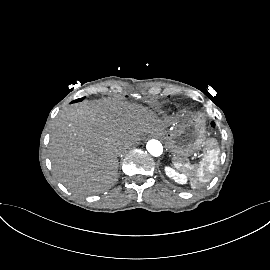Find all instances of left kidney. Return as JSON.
<instances>
[{"label":"left kidney","instance_id":"1","mask_svg":"<svg viewBox=\"0 0 270 270\" xmlns=\"http://www.w3.org/2000/svg\"><path fill=\"white\" fill-rule=\"evenodd\" d=\"M165 173L168 177L172 178L175 182L180 184H185L187 182V178L183 174H179L173 168L166 166Z\"/></svg>","mask_w":270,"mask_h":270}]
</instances>
